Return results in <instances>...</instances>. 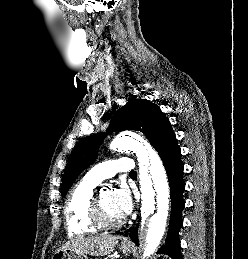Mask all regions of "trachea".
Wrapping results in <instances>:
<instances>
[{
	"mask_svg": "<svg viewBox=\"0 0 248 259\" xmlns=\"http://www.w3.org/2000/svg\"><path fill=\"white\" fill-rule=\"evenodd\" d=\"M130 174H131V175H134V174H137V173H136V171H132Z\"/></svg>",
	"mask_w": 248,
	"mask_h": 259,
	"instance_id": "obj_1",
	"label": "trachea"
}]
</instances>
